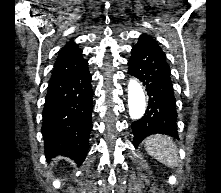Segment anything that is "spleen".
Instances as JSON below:
<instances>
[{"label": "spleen", "mask_w": 221, "mask_h": 193, "mask_svg": "<svg viewBox=\"0 0 221 193\" xmlns=\"http://www.w3.org/2000/svg\"><path fill=\"white\" fill-rule=\"evenodd\" d=\"M145 150L162 164L174 168L178 166V151L171 138L165 135H152L145 140Z\"/></svg>", "instance_id": "3e777b00"}]
</instances>
